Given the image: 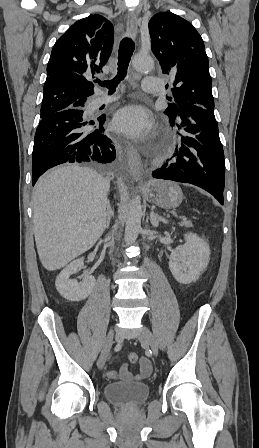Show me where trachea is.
Wrapping results in <instances>:
<instances>
[{
  "instance_id": "trachea-1",
  "label": "trachea",
  "mask_w": 259,
  "mask_h": 448,
  "mask_svg": "<svg viewBox=\"0 0 259 448\" xmlns=\"http://www.w3.org/2000/svg\"><path fill=\"white\" fill-rule=\"evenodd\" d=\"M135 50V44L131 38H123L120 42L118 51V72L112 80H98L100 87L108 88V94H113L116 91L117 85L124 80L127 75L128 65Z\"/></svg>"
}]
</instances>
